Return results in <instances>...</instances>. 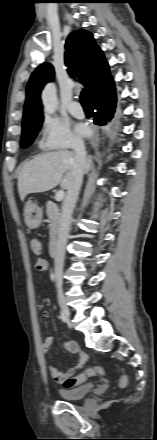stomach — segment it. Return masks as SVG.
<instances>
[{
  "label": "stomach",
  "mask_w": 157,
  "mask_h": 440,
  "mask_svg": "<svg viewBox=\"0 0 157 440\" xmlns=\"http://www.w3.org/2000/svg\"><path fill=\"white\" fill-rule=\"evenodd\" d=\"M43 212L42 209L32 201L25 203L24 207V219L26 225L30 229L38 228L42 221Z\"/></svg>",
  "instance_id": "obj_1"
}]
</instances>
